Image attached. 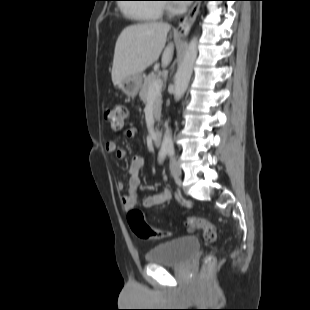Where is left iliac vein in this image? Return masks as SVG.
<instances>
[{
	"label": "left iliac vein",
	"instance_id": "4c4485c4",
	"mask_svg": "<svg viewBox=\"0 0 310 310\" xmlns=\"http://www.w3.org/2000/svg\"><path fill=\"white\" fill-rule=\"evenodd\" d=\"M170 171L175 180H180L182 171L176 159L172 158L170 162Z\"/></svg>",
	"mask_w": 310,
	"mask_h": 310
}]
</instances>
